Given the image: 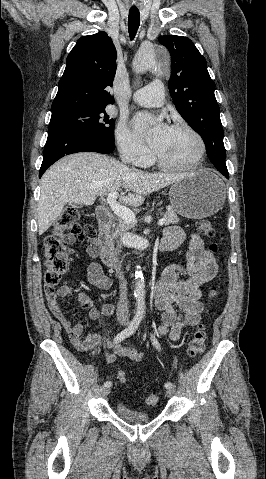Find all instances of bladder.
I'll list each match as a JSON object with an SVG mask.
<instances>
[{"mask_svg":"<svg viewBox=\"0 0 266 479\" xmlns=\"http://www.w3.org/2000/svg\"><path fill=\"white\" fill-rule=\"evenodd\" d=\"M118 415L129 422H147L151 420L152 415L145 411L135 410L125 403H118L116 406Z\"/></svg>","mask_w":266,"mask_h":479,"instance_id":"1","label":"bladder"}]
</instances>
